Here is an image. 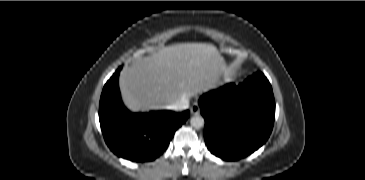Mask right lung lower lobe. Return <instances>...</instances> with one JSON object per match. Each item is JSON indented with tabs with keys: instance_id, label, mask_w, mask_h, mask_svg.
Returning <instances> with one entry per match:
<instances>
[{
	"instance_id": "right-lung-lower-lobe-1",
	"label": "right lung lower lobe",
	"mask_w": 365,
	"mask_h": 180,
	"mask_svg": "<svg viewBox=\"0 0 365 180\" xmlns=\"http://www.w3.org/2000/svg\"><path fill=\"white\" fill-rule=\"evenodd\" d=\"M120 70L121 67L107 81L100 98L99 121L105 142L119 157L134 162L152 161L168 147L189 111L131 113L120 98Z\"/></svg>"
}]
</instances>
